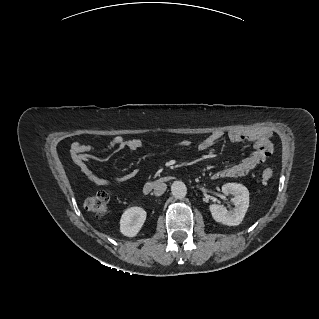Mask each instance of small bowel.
<instances>
[{
	"label": "small bowel",
	"mask_w": 319,
	"mask_h": 319,
	"mask_svg": "<svg viewBox=\"0 0 319 319\" xmlns=\"http://www.w3.org/2000/svg\"><path fill=\"white\" fill-rule=\"evenodd\" d=\"M230 141L240 142L248 140L254 143V150L247 157L241 161L225 168H221L212 174L213 179L241 177L247 175L256 166L265 162L267 154L264 150V143L268 141L270 132L265 131L262 133H247L241 130H230L227 134ZM223 137L221 132H213L205 137L197 146V149L205 153L210 150L218 141ZM188 140H182L180 145L183 147L188 146ZM144 143L139 139L126 140L122 136L113 137L110 142L102 149L74 143L72 145V158L74 163L81 169V171L96 185H125L131 181L136 172L132 171L122 175H111L109 177H101L97 175L89 166V159L92 155L96 154L100 160H105L114 152L120 150L137 151L143 148Z\"/></svg>",
	"instance_id": "small-bowel-1"
}]
</instances>
